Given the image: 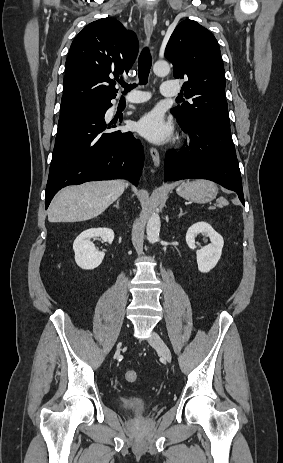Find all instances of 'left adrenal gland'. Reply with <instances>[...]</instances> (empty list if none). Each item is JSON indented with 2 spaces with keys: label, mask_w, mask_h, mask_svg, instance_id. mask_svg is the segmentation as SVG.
Listing matches in <instances>:
<instances>
[{
  "label": "left adrenal gland",
  "mask_w": 283,
  "mask_h": 463,
  "mask_svg": "<svg viewBox=\"0 0 283 463\" xmlns=\"http://www.w3.org/2000/svg\"><path fill=\"white\" fill-rule=\"evenodd\" d=\"M179 209H180V213H179L178 217L180 218V217H182L185 213L183 212V210H182L181 207H180Z\"/></svg>",
  "instance_id": "obj_1"
}]
</instances>
